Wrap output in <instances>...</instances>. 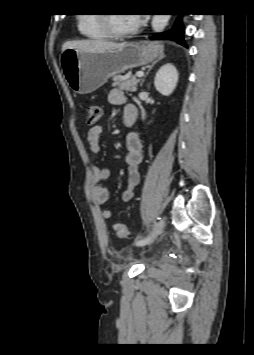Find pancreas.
Masks as SVG:
<instances>
[{
	"label": "pancreas",
	"instance_id": "pancreas-1",
	"mask_svg": "<svg viewBox=\"0 0 254 355\" xmlns=\"http://www.w3.org/2000/svg\"><path fill=\"white\" fill-rule=\"evenodd\" d=\"M113 81L114 87H118L119 89L124 91L136 92L137 84L140 80L137 79L135 76H132L129 79H123L121 76H114Z\"/></svg>",
	"mask_w": 254,
	"mask_h": 355
}]
</instances>
